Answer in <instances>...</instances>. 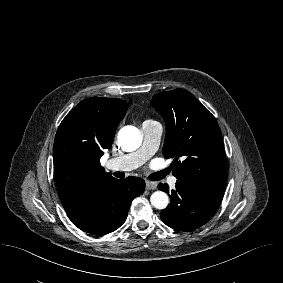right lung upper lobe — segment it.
<instances>
[{"instance_id":"right-lung-upper-lobe-1","label":"right lung upper lobe","mask_w":283,"mask_h":283,"mask_svg":"<svg viewBox=\"0 0 283 283\" xmlns=\"http://www.w3.org/2000/svg\"><path fill=\"white\" fill-rule=\"evenodd\" d=\"M129 104L121 99L91 97L63 119L54 141V174L66 212L74 210L101 181L113 178L100 165Z\"/></svg>"}]
</instances>
